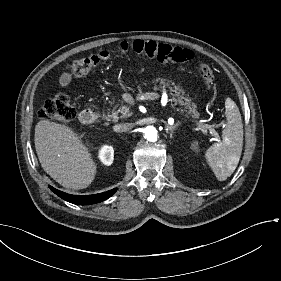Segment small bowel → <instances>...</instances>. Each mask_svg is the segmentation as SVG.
<instances>
[{"label": "small bowel", "mask_w": 281, "mask_h": 281, "mask_svg": "<svg viewBox=\"0 0 281 281\" xmlns=\"http://www.w3.org/2000/svg\"><path fill=\"white\" fill-rule=\"evenodd\" d=\"M71 80H72L71 74L68 72L63 73L60 76V84L63 87L68 86L70 84Z\"/></svg>", "instance_id": "c3829d8e"}]
</instances>
